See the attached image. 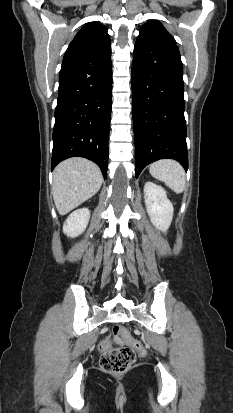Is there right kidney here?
Returning <instances> with one entry per match:
<instances>
[{
	"label": "right kidney",
	"instance_id": "right-kidney-1",
	"mask_svg": "<svg viewBox=\"0 0 233 413\" xmlns=\"http://www.w3.org/2000/svg\"><path fill=\"white\" fill-rule=\"evenodd\" d=\"M90 219V210L81 208L72 212L63 225V232L68 237H77L86 229Z\"/></svg>",
	"mask_w": 233,
	"mask_h": 413
}]
</instances>
